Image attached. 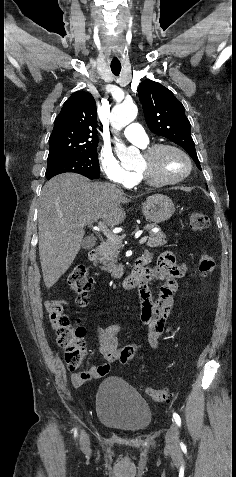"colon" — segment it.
Segmentation results:
<instances>
[{
  "label": "colon",
  "instance_id": "5ec220e1",
  "mask_svg": "<svg viewBox=\"0 0 236 477\" xmlns=\"http://www.w3.org/2000/svg\"><path fill=\"white\" fill-rule=\"evenodd\" d=\"M210 221L207 215L201 212H192L189 217V227L193 232H202L209 228ZM215 263L208 254H201L198 261V272L202 278H208L214 271ZM179 272H183V267L179 265ZM67 283L71 290L76 294V302L84 304L92 289V279L88 274L86 267L82 265L74 266L67 276ZM57 341L65 350V362L67 367L74 371L83 363L85 355V344L83 341L84 330L75 326V324L65 315L57 319ZM137 345L125 347L122 349L118 361L125 364L135 357ZM137 353V352H136ZM145 393L153 401L165 403L173 397V392L168 388L155 389L146 387Z\"/></svg>",
  "mask_w": 236,
  "mask_h": 477
}]
</instances>
